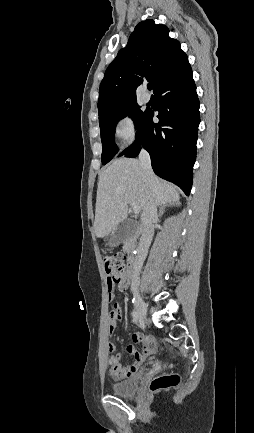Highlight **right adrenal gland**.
<instances>
[{
  "label": "right adrenal gland",
  "mask_w": 254,
  "mask_h": 433,
  "mask_svg": "<svg viewBox=\"0 0 254 433\" xmlns=\"http://www.w3.org/2000/svg\"><path fill=\"white\" fill-rule=\"evenodd\" d=\"M177 205H178V203H176V202L163 204V205L161 206L160 210H159V216L161 217V216L163 215L164 210H165L166 207L177 206Z\"/></svg>",
  "instance_id": "right-adrenal-gland-1"
}]
</instances>
